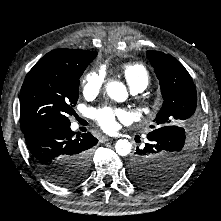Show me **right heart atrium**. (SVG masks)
I'll return each instance as SVG.
<instances>
[{"label": "right heart atrium", "mask_w": 221, "mask_h": 221, "mask_svg": "<svg viewBox=\"0 0 221 221\" xmlns=\"http://www.w3.org/2000/svg\"><path fill=\"white\" fill-rule=\"evenodd\" d=\"M105 83V72L91 70L82 79V90L85 96L93 97L99 94Z\"/></svg>", "instance_id": "right-heart-atrium-1"}]
</instances>
